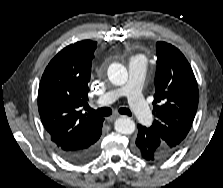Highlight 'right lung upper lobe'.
I'll return each instance as SVG.
<instances>
[{
    "label": "right lung upper lobe",
    "mask_w": 223,
    "mask_h": 188,
    "mask_svg": "<svg viewBox=\"0 0 223 188\" xmlns=\"http://www.w3.org/2000/svg\"><path fill=\"white\" fill-rule=\"evenodd\" d=\"M97 43L84 40L61 50L46 67L38 91L41 121L54 145L76 147L103 123L82 113L87 105L91 62Z\"/></svg>",
    "instance_id": "right-lung-upper-lobe-1"
}]
</instances>
